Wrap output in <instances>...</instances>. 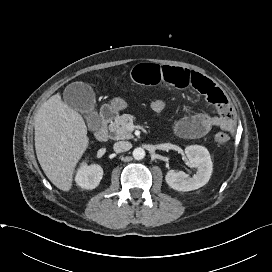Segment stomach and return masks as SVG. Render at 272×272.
Here are the masks:
<instances>
[{
    "mask_svg": "<svg viewBox=\"0 0 272 272\" xmlns=\"http://www.w3.org/2000/svg\"><path fill=\"white\" fill-rule=\"evenodd\" d=\"M110 107L115 111H121L128 107V103L122 98H114L111 101Z\"/></svg>",
    "mask_w": 272,
    "mask_h": 272,
    "instance_id": "obj_1",
    "label": "stomach"
}]
</instances>
